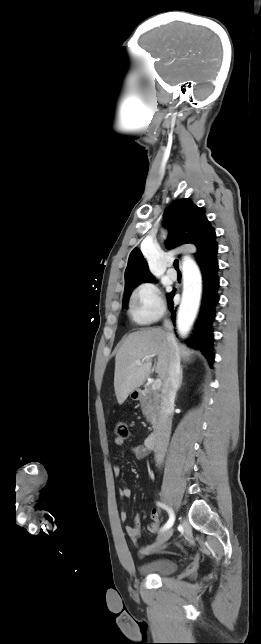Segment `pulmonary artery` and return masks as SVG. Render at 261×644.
<instances>
[{
	"mask_svg": "<svg viewBox=\"0 0 261 644\" xmlns=\"http://www.w3.org/2000/svg\"><path fill=\"white\" fill-rule=\"evenodd\" d=\"M167 274L172 280L177 279V272L173 268L168 269Z\"/></svg>",
	"mask_w": 261,
	"mask_h": 644,
	"instance_id": "obj_1",
	"label": "pulmonary artery"
}]
</instances>
